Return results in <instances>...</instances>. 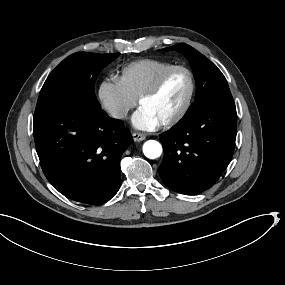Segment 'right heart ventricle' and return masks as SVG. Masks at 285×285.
I'll return each instance as SVG.
<instances>
[{
    "label": "right heart ventricle",
    "instance_id": "obj_1",
    "mask_svg": "<svg viewBox=\"0 0 285 285\" xmlns=\"http://www.w3.org/2000/svg\"><path fill=\"white\" fill-rule=\"evenodd\" d=\"M132 68L134 74L129 91L138 98L173 66L156 59H143L134 63Z\"/></svg>",
    "mask_w": 285,
    "mask_h": 285
}]
</instances>
